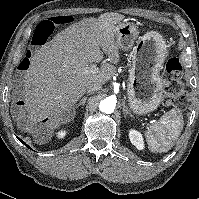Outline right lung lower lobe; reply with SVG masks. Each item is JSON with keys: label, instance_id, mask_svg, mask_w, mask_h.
<instances>
[{"label": "right lung lower lobe", "instance_id": "obj_1", "mask_svg": "<svg viewBox=\"0 0 199 199\" xmlns=\"http://www.w3.org/2000/svg\"><path fill=\"white\" fill-rule=\"evenodd\" d=\"M26 147H28L29 149H31L24 141H22L21 139H19ZM32 150V149H31Z\"/></svg>", "mask_w": 199, "mask_h": 199}]
</instances>
